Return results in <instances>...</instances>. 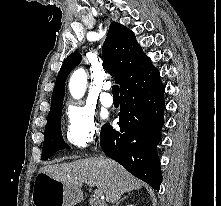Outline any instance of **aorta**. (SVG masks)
<instances>
[{
	"label": "aorta",
	"instance_id": "obj_1",
	"mask_svg": "<svg viewBox=\"0 0 221 206\" xmlns=\"http://www.w3.org/2000/svg\"><path fill=\"white\" fill-rule=\"evenodd\" d=\"M87 75L84 69L76 70L69 81V91L73 98L80 99L86 90Z\"/></svg>",
	"mask_w": 221,
	"mask_h": 206
}]
</instances>
